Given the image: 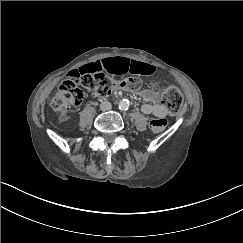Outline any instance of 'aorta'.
Returning a JSON list of instances; mask_svg holds the SVG:
<instances>
[{"label":"aorta","mask_w":243,"mask_h":243,"mask_svg":"<svg viewBox=\"0 0 243 243\" xmlns=\"http://www.w3.org/2000/svg\"><path fill=\"white\" fill-rule=\"evenodd\" d=\"M128 106H129V102L126 99H123L119 102L120 109L126 110L128 108Z\"/></svg>","instance_id":"762f6f07"}]
</instances>
